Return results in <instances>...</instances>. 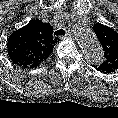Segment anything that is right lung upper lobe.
I'll return each mask as SVG.
<instances>
[{"mask_svg": "<svg viewBox=\"0 0 118 118\" xmlns=\"http://www.w3.org/2000/svg\"><path fill=\"white\" fill-rule=\"evenodd\" d=\"M53 27L41 20L30 21L14 31L7 43L8 55L13 63L22 67H36L46 60L57 43Z\"/></svg>", "mask_w": 118, "mask_h": 118, "instance_id": "obj_1", "label": "right lung upper lobe"}]
</instances>
